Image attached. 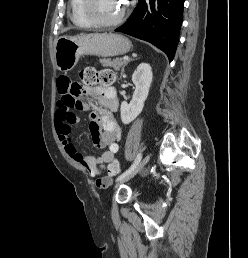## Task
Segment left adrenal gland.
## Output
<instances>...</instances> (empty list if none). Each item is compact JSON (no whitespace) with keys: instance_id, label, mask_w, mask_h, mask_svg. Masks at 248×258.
I'll list each match as a JSON object with an SVG mask.
<instances>
[{"instance_id":"a2214340","label":"left adrenal gland","mask_w":248,"mask_h":258,"mask_svg":"<svg viewBox=\"0 0 248 258\" xmlns=\"http://www.w3.org/2000/svg\"><path fill=\"white\" fill-rule=\"evenodd\" d=\"M124 73V67L122 68V71H121V74H123Z\"/></svg>"}]
</instances>
